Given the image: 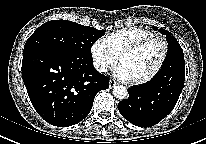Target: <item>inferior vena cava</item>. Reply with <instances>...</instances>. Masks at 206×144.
<instances>
[{
  "label": "inferior vena cava",
  "instance_id": "inferior-vena-cava-1",
  "mask_svg": "<svg viewBox=\"0 0 206 144\" xmlns=\"http://www.w3.org/2000/svg\"><path fill=\"white\" fill-rule=\"evenodd\" d=\"M96 68L99 72H106L107 70L105 66H96Z\"/></svg>",
  "mask_w": 206,
  "mask_h": 144
}]
</instances>
